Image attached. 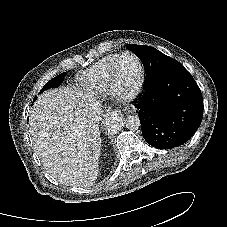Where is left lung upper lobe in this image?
Segmentation results:
<instances>
[{"mask_svg":"<svg viewBox=\"0 0 227 227\" xmlns=\"http://www.w3.org/2000/svg\"><path fill=\"white\" fill-rule=\"evenodd\" d=\"M126 48L133 51L142 61L146 72V84L166 73L184 68L178 61L150 46L127 44ZM146 52H149L146 54ZM149 54L152 57L148 56Z\"/></svg>","mask_w":227,"mask_h":227,"instance_id":"obj_1","label":"left lung upper lobe"}]
</instances>
